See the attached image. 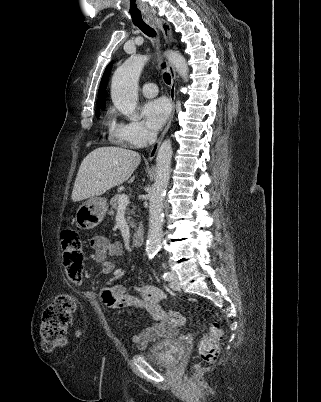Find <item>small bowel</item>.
<instances>
[{
  "label": "small bowel",
  "instance_id": "small-bowel-1",
  "mask_svg": "<svg viewBox=\"0 0 321 402\" xmlns=\"http://www.w3.org/2000/svg\"><path fill=\"white\" fill-rule=\"evenodd\" d=\"M94 257L100 272L108 274L114 269V264L109 257H119L123 253V247L119 241H110L107 237L96 235L91 239ZM101 300L109 308L136 307L145 311L156 321L145 331L132 336V341L137 347L144 349L160 338L171 336L176 326L173 311L166 309L162 302L165 293L156 285H143L134 287V293H129L126 286L115 284L103 287L100 291Z\"/></svg>",
  "mask_w": 321,
  "mask_h": 402
}]
</instances>
